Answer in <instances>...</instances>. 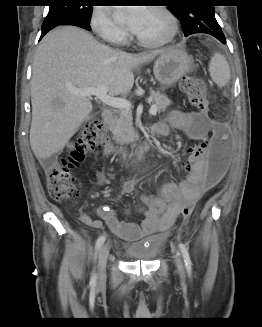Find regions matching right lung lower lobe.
I'll use <instances>...</instances> for the list:
<instances>
[{
  "mask_svg": "<svg viewBox=\"0 0 262 327\" xmlns=\"http://www.w3.org/2000/svg\"><path fill=\"white\" fill-rule=\"evenodd\" d=\"M59 25H73V26H77V27H81L83 29L86 30H91L90 26H89V22L77 19V18H59V19H55L49 22H43L42 24V33L40 36V39L51 29L59 26Z\"/></svg>",
  "mask_w": 262,
  "mask_h": 327,
  "instance_id": "right-lung-lower-lobe-1",
  "label": "right lung lower lobe"
}]
</instances>
